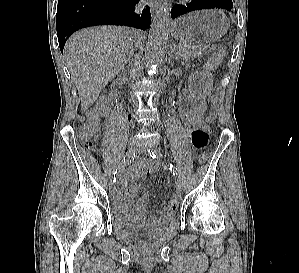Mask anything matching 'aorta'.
<instances>
[{"instance_id": "aorta-1", "label": "aorta", "mask_w": 299, "mask_h": 273, "mask_svg": "<svg viewBox=\"0 0 299 273\" xmlns=\"http://www.w3.org/2000/svg\"><path fill=\"white\" fill-rule=\"evenodd\" d=\"M170 8L163 5L154 19L150 32L149 41L145 49V60L152 74L166 52L167 39L169 36Z\"/></svg>"}]
</instances>
